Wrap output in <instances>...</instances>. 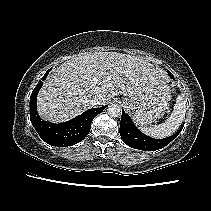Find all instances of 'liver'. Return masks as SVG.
I'll list each match as a JSON object with an SVG mask.
<instances>
[{"label": "liver", "mask_w": 211, "mask_h": 211, "mask_svg": "<svg viewBox=\"0 0 211 211\" xmlns=\"http://www.w3.org/2000/svg\"><path fill=\"white\" fill-rule=\"evenodd\" d=\"M163 71L143 58L117 52H94L68 60L44 82L37 106L41 118L60 123L91 108L89 100L102 96V104L119 93L134 100L166 90Z\"/></svg>", "instance_id": "1"}]
</instances>
